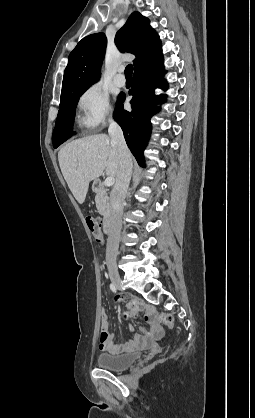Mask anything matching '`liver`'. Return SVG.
Wrapping results in <instances>:
<instances>
[{"label": "liver", "mask_w": 255, "mask_h": 418, "mask_svg": "<svg viewBox=\"0 0 255 418\" xmlns=\"http://www.w3.org/2000/svg\"><path fill=\"white\" fill-rule=\"evenodd\" d=\"M61 172L70 191L79 204L85 201L89 183L105 170L116 177L119 155L111 138L96 134L71 141L58 153Z\"/></svg>", "instance_id": "1"}]
</instances>
